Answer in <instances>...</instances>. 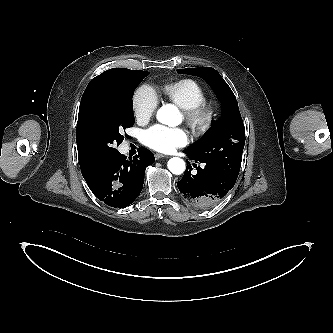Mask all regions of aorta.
Wrapping results in <instances>:
<instances>
[{
	"mask_svg": "<svg viewBox=\"0 0 333 333\" xmlns=\"http://www.w3.org/2000/svg\"><path fill=\"white\" fill-rule=\"evenodd\" d=\"M157 120L169 126H176L181 121V116L176 106L172 104L163 105L157 111ZM185 162L178 157H173L168 161V169L175 175H180L185 171Z\"/></svg>",
	"mask_w": 333,
	"mask_h": 333,
	"instance_id": "762f6f07",
	"label": "aorta"
}]
</instances>
